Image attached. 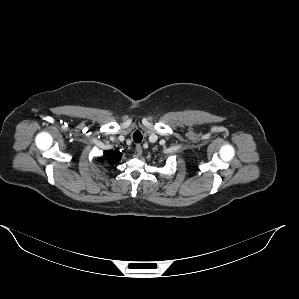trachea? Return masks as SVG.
<instances>
[{
	"mask_svg": "<svg viewBox=\"0 0 299 299\" xmlns=\"http://www.w3.org/2000/svg\"><path fill=\"white\" fill-rule=\"evenodd\" d=\"M142 138L143 137H142V134H141L140 131H135L133 133V140H134L135 143H140L142 141Z\"/></svg>",
	"mask_w": 299,
	"mask_h": 299,
	"instance_id": "1",
	"label": "trachea"
}]
</instances>
